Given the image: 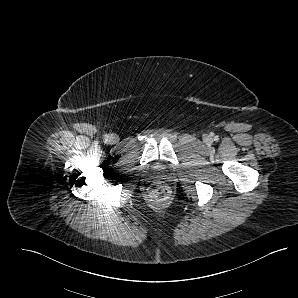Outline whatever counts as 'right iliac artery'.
I'll use <instances>...</instances> for the list:
<instances>
[{
    "label": "right iliac artery",
    "mask_w": 298,
    "mask_h": 298,
    "mask_svg": "<svg viewBox=\"0 0 298 298\" xmlns=\"http://www.w3.org/2000/svg\"><path fill=\"white\" fill-rule=\"evenodd\" d=\"M105 138H108V136H107V135H105Z\"/></svg>",
    "instance_id": "82829eb1"
}]
</instances>
